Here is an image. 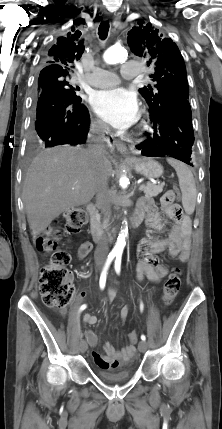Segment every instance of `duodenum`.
Instances as JSON below:
<instances>
[{
  "instance_id": "410a0bca",
  "label": "duodenum",
  "mask_w": 222,
  "mask_h": 429,
  "mask_svg": "<svg viewBox=\"0 0 222 429\" xmlns=\"http://www.w3.org/2000/svg\"><path fill=\"white\" fill-rule=\"evenodd\" d=\"M86 209L89 215L90 233L94 241L99 243L103 239L104 231L100 225L97 208L95 204L90 203L87 205ZM142 217H143V214L140 211L134 213L131 219V224L133 228L137 227L140 224Z\"/></svg>"
}]
</instances>
